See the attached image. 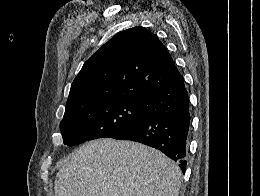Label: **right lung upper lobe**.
I'll return each instance as SVG.
<instances>
[{"mask_svg":"<svg viewBox=\"0 0 260 196\" xmlns=\"http://www.w3.org/2000/svg\"><path fill=\"white\" fill-rule=\"evenodd\" d=\"M181 76L157 36L134 27L114 35L85 62L66 107L113 95L139 101Z\"/></svg>","mask_w":260,"mask_h":196,"instance_id":"1","label":"right lung upper lobe"}]
</instances>
